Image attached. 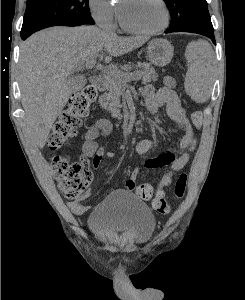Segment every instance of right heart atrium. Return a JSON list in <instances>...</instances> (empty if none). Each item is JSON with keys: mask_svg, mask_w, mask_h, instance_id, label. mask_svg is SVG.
<instances>
[{"mask_svg": "<svg viewBox=\"0 0 245 300\" xmlns=\"http://www.w3.org/2000/svg\"><path fill=\"white\" fill-rule=\"evenodd\" d=\"M93 19L101 26L114 29L117 25L118 10L111 0H89Z\"/></svg>", "mask_w": 245, "mask_h": 300, "instance_id": "right-heart-atrium-1", "label": "right heart atrium"}]
</instances>
